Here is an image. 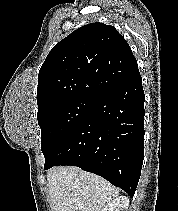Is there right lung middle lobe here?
<instances>
[{"label": "right lung middle lobe", "instance_id": "right-lung-middle-lobe-1", "mask_svg": "<svg viewBox=\"0 0 178 211\" xmlns=\"http://www.w3.org/2000/svg\"><path fill=\"white\" fill-rule=\"evenodd\" d=\"M95 101L92 98H73L38 111L41 150L45 158L82 122Z\"/></svg>", "mask_w": 178, "mask_h": 211}]
</instances>
